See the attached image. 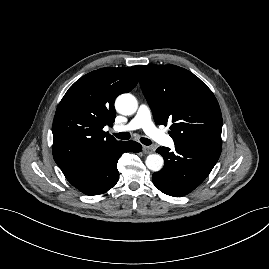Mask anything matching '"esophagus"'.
<instances>
[{"label":"esophagus","mask_w":269,"mask_h":269,"mask_svg":"<svg viewBox=\"0 0 269 269\" xmlns=\"http://www.w3.org/2000/svg\"><path fill=\"white\" fill-rule=\"evenodd\" d=\"M143 152L145 153V154H151L152 152H153V149H152V147L151 146H143Z\"/></svg>","instance_id":"esophagus-1"}]
</instances>
